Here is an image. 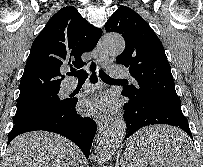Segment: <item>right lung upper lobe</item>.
Instances as JSON below:
<instances>
[{
  "mask_svg": "<svg viewBox=\"0 0 203 167\" xmlns=\"http://www.w3.org/2000/svg\"><path fill=\"white\" fill-rule=\"evenodd\" d=\"M102 30L86 21L73 6L59 10L34 40L20 81L18 105L59 92L65 68L85 65L81 55L91 51ZM92 69L95 64L92 63Z\"/></svg>",
  "mask_w": 203,
  "mask_h": 167,
  "instance_id": "cb5924a9",
  "label": "right lung upper lobe"
}]
</instances>
